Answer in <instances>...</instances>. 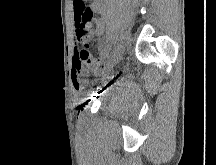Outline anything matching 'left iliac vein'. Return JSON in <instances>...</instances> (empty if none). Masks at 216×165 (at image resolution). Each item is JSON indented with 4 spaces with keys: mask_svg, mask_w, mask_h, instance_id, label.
Returning <instances> with one entry per match:
<instances>
[{
    "mask_svg": "<svg viewBox=\"0 0 216 165\" xmlns=\"http://www.w3.org/2000/svg\"><path fill=\"white\" fill-rule=\"evenodd\" d=\"M125 48H126L125 41H122L119 45H117V47L114 49L112 54L107 59L106 65L108 69L113 68L119 62V60L121 59L125 51Z\"/></svg>",
    "mask_w": 216,
    "mask_h": 165,
    "instance_id": "4c4485c4",
    "label": "left iliac vein"
}]
</instances>
